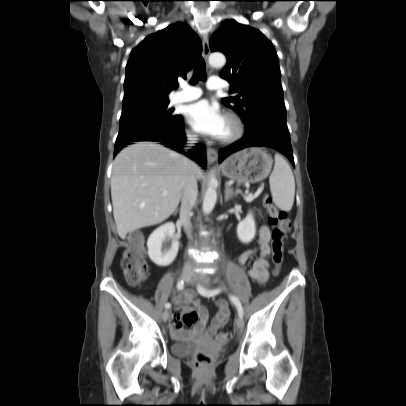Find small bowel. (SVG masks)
Listing matches in <instances>:
<instances>
[{"label": "small bowel", "mask_w": 406, "mask_h": 406, "mask_svg": "<svg viewBox=\"0 0 406 406\" xmlns=\"http://www.w3.org/2000/svg\"><path fill=\"white\" fill-rule=\"evenodd\" d=\"M270 230L266 225H262L259 229L258 238V249L248 250L243 252L239 258L238 262L241 266L251 260L253 265L247 270L248 276L255 280L259 285H263L268 280V255H269V242H270ZM174 303L178 306L183 307L185 312H192L190 306H193L199 316V321L189 332L191 336H204L206 339L214 336L220 327H222L229 319L230 309L227 302L224 299H219L216 301L215 305L217 307V313L215 317L210 321L208 327H206L209 316L206 307L201 304L197 299L196 294L192 290H187L186 292L179 294L174 297ZM171 333L173 336L178 338H184L187 333L182 329H176L172 325L170 326Z\"/></svg>", "instance_id": "small-bowel-1"}]
</instances>
